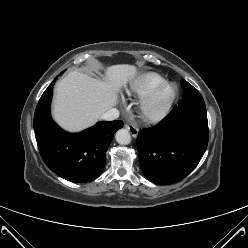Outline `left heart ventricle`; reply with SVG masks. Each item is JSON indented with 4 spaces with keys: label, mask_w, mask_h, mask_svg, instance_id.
I'll use <instances>...</instances> for the list:
<instances>
[{
    "label": "left heart ventricle",
    "mask_w": 248,
    "mask_h": 248,
    "mask_svg": "<svg viewBox=\"0 0 248 248\" xmlns=\"http://www.w3.org/2000/svg\"><path fill=\"white\" fill-rule=\"evenodd\" d=\"M172 90L171 88H166L162 90L156 100V106H161L163 105L171 96Z\"/></svg>",
    "instance_id": "left-heart-ventricle-1"
}]
</instances>
